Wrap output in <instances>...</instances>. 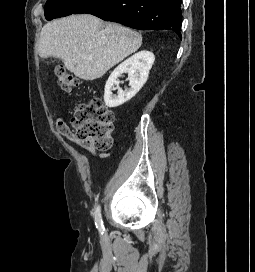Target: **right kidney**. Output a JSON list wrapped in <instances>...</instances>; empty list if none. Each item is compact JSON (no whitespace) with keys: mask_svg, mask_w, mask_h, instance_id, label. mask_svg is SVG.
<instances>
[{"mask_svg":"<svg viewBox=\"0 0 255 272\" xmlns=\"http://www.w3.org/2000/svg\"><path fill=\"white\" fill-rule=\"evenodd\" d=\"M155 56L150 51H140L133 56L122 62L109 76L104 90L105 104L110 108L118 107L132 97L146 83L149 75V71L154 63ZM123 73H128L129 89L124 91L115 88L114 85H118L117 80ZM118 89V95H114L112 90Z\"/></svg>","mask_w":255,"mask_h":272,"instance_id":"right-kidney-1","label":"right kidney"}]
</instances>
